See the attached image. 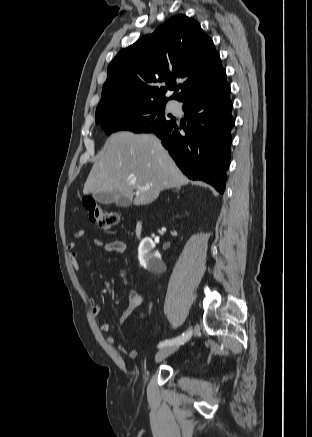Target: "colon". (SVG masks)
<instances>
[{
	"mask_svg": "<svg viewBox=\"0 0 312 437\" xmlns=\"http://www.w3.org/2000/svg\"><path fill=\"white\" fill-rule=\"evenodd\" d=\"M83 206L88 212L89 219L100 228H111L116 225L119 220V217L115 212L104 209L91 197L83 198Z\"/></svg>",
	"mask_w": 312,
	"mask_h": 437,
	"instance_id": "obj_1",
	"label": "colon"
}]
</instances>
